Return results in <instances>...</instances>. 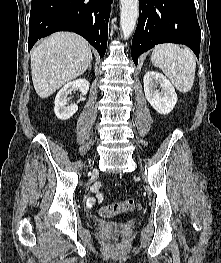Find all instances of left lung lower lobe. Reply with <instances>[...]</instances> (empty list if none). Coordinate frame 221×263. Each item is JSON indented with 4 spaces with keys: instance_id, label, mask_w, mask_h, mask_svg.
Listing matches in <instances>:
<instances>
[{
    "instance_id": "1",
    "label": "left lung lower lobe",
    "mask_w": 221,
    "mask_h": 263,
    "mask_svg": "<svg viewBox=\"0 0 221 263\" xmlns=\"http://www.w3.org/2000/svg\"><path fill=\"white\" fill-rule=\"evenodd\" d=\"M200 40L194 0H139L131 48L135 64L139 55L159 43L185 44L199 58Z\"/></svg>"
}]
</instances>
